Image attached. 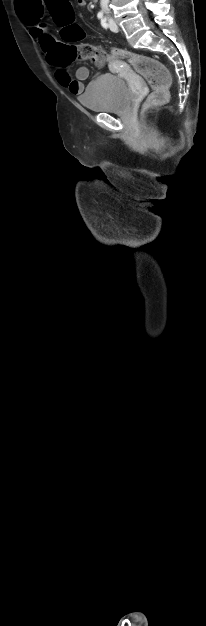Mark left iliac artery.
I'll use <instances>...</instances> for the list:
<instances>
[{"mask_svg":"<svg viewBox=\"0 0 206 626\" xmlns=\"http://www.w3.org/2000/svg\"><path fill=\"white\" fill-rule=\"evenodd\" d=\"M101 25H102L104 28H107V27H108V24L106 23V18H103V19L101 20Z\"/></svg>","mask_w":206,"mask_h":626,"instance_id":"1","label":"left iliac artery"}]
</instances>
